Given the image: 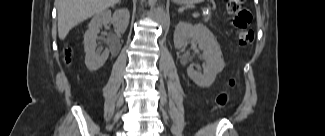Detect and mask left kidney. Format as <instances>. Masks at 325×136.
I'll return each mask as SVG.
<instances>
[{"mask_svg":"<svg viewBox=\"0 0 325 136\" xmlns=\"http://www.w3.org/2000/svg\"><path fill=\"white\" fill-rule=\"evenodd\" d=\"M190 41L197 43L199 49L203 51L202 58L205 65L203 73L195 71L193 66H189L187 74L199 87H210L217 74L224 69L220 45L213 33L203 24L192 25L187 22H179L174 32L175 48H184Z\"/></svg>","mask_w":325,"mask_h":136,"instance_id":"5707ae66","label":"left kidney"}]
</instances>
